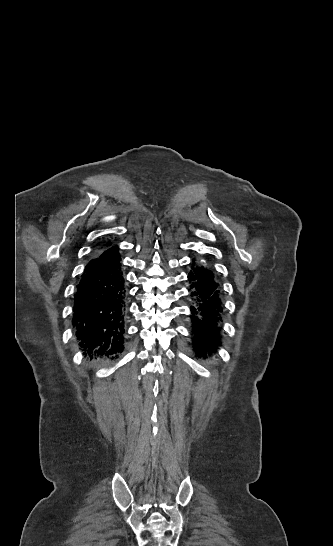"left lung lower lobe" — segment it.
<instances>
[{
	"instance_id": "obj_1",
	"label": "left lung lower lobe",
	"mask_w": 333,
	"mask_h": 546,
	"mask_svg": "<svg viewBox=\"0 0 333 546\" xmlns=\"http://www.w3.org/2000/svg\"><path fill=\"white\" fill-rule=\"evenodd\" d=\"M191 296L196 305L191 307L193 345L198 357L207 358L220 346V314L223 305L220 287L214 274L195 259L188 275Z\"/></svg>"
}]
</instances>
